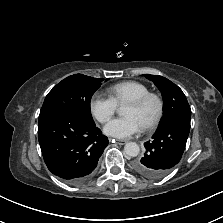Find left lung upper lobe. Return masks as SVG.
<instances>
[{"label": "left lung upper lobe", "instance_id": "1", "mask_svg": "<svg viewBox=\"0 0 223 223\" xmlns=\"http://www.w3.org/2000/svg\"><path fill=\"white\" fill-rule=\"evenodd\" d=\"M143 76L153 81L163 96L164 114L158 129L174 121H181L190 125L191 109L182 90L165 77L150 74Z\"/></svg>", "mask_w": 223, "mask_h": 223}]
</instances>
